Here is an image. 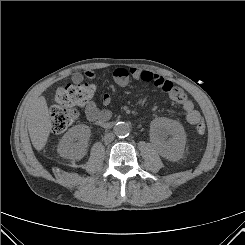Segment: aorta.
I'll list each match as a JSON object with an SVG mask.
<instances>
[{
	"label": "aorta",
	"instance_id": "762f6f07",
	"mask_svg": "<svg viewBox=\"0 0 245 245\" xmlns=\"http://www.w3.org/2000/svg\"><path fill=\"white\" fill-rule=\"evenodd\" d=\"M130 131V126L126 122H119L114 126V133L119 137L129 135Z\"/></svg>",
	"mask_w": 245,
	"mask_h": 245
}]
</instances>
